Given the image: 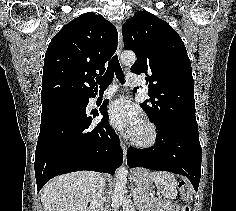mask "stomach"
I'll use <instances>...</instances> for the list:
<instances>
[{"label":"stomach","mask_w":236,"mask_h":211,"mask_svg":"<svg viewBox=\"0 0 236 211\" xmlns=\"http://www.w3.org/2000/svg\"><path fill=\"white\" fill-rule=\"evenodd\" d=\"M149 175L150 174L147 170L134 169L132 171L131 178L138 189H142L148 193L153 189V183Z\"/></svg>","instance_id":"stomach-1"}]
</instances>
